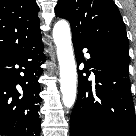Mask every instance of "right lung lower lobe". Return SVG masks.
<instances>
[{
  "label": "right lung lower lobe",
  "mask_w": 136,
  "mask_h": 136,
  "mask_svg": "<svg viewBox=\"0 0 136 136\" xmlns=\"http://www.w3.org/2000/svg\"><path fill=\"white\" fill-rule=\"evenodd\" d=\"M42 51L40 37L13 54L0 56V135L40 136Z\"/></svg>",
  "instance_id": "obj_1"
}]
</instances>
